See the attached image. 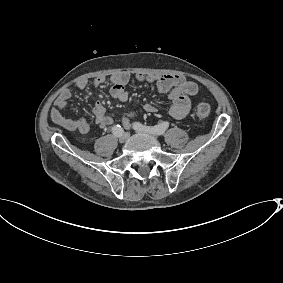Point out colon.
<instances>
[{"label":"colon","instance_id":"1","mask_svg":"<svg viewBox=\"0 0 283 283\" xmlns=\"http://www.w3.org/2000/svg\"><path fill=\"white\" fill-rule=\"evenodd\" d=\"M196 116L200 119H204L206 117H208V115L210 114V106L207 103H200L197 107H196Z\"/></svg>","mask_w":283,"mask_h":283}]
</instances>
